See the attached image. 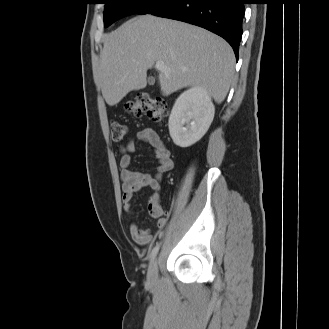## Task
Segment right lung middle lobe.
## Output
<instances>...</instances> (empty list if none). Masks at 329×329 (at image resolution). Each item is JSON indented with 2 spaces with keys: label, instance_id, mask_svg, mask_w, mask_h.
I'll list each match as a JSON object with an SVG mask.
<instances>
[{
  "label": "right lung middle lobe",
  "instance_id": "obj_1",
  "mask_svg": "<svg viewBox=\"0 0 329 329\" xmlns=\"http://www.w3.org/2000/svg\"><path fill=\"white\" fill-rule=\"evenodd\" d=\"M172 0H104V26L132 14H151Z\"/></svg>",
  "mask_w": 329,
  "mask_h": 329
}]
</instances>
